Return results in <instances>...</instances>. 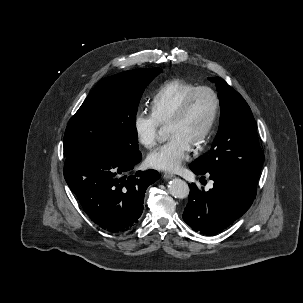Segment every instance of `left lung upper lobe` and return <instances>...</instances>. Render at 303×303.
I'll use <instances>...</instances> for the list:
<instances>
[{"label":"left lung upper lobe","instance_id":"1","mask_svg":"<svg viewBox=\"0 0 303 303\" xmlns=\"http://www.w3.org/2000/svg\"><path fill=\"white\" fill-rule=\"evenodd\" d=\"M216 83L221 107L217 135L208 153L190 166L202 171L222 170L257 185L263 165L254 117L243 97L222 78H209Z\"/></svg>","mask_w":303,"mask_h":303}]
</instances>
